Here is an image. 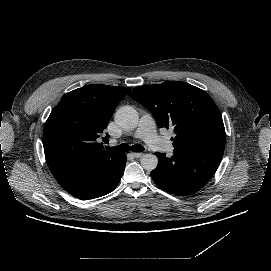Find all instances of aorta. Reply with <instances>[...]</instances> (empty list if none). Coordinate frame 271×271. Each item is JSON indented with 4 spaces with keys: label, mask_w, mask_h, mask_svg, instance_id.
<instances>
[{
    "label": "aorta",
    "mask_w": 271,
    "mask_h": 271,
    "mask_svg": "<svg viewBox=\"0 0 271 271\" xmlns=\"http://www.w3.org/2000/svg\"><path fill=\"white\" fill-rule=\"evenodd\" d=\"M115 123L124 130H134L139 123L138 112L129 105L120 107L114 116ZM141 166L146 171L154 170L158 165V158L154 154H144L141 159Z\"/></svg>",
    "instance_id": "762f6f07"
}]
</instances>
